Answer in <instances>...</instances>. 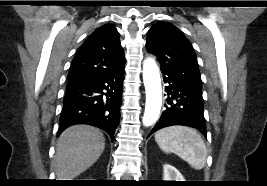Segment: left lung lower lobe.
I'll list each match as a JSON object with an SVG mask.
<instances>
[{"label": "left lung lower lobe", "mask_w": 267, "mask_h": 186, "mask_svg": "<svg viewBox=\"0 0 267 186\" xmlns=\"http://www.w3.org/2000/svg\"><path fill=\"white\" fill-rule=\"evenodd\" d=\"M161 72L164 82L168 84L165 87L168 103L164 105L161 117L148 136L161 128L173 125L194 127L206 136L202 88L184 81L169 71L161 70Z\"/></svg>", "instance_id": "left-lung-lower-lobe-1"}]
</instances>
